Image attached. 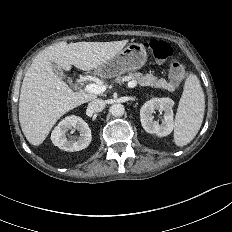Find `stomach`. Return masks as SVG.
Instances as JSON below:
<instances>
[{
	"instance_id": "0dacf381",
	"label": "stomach",
	"mask_w": 232,
	"mask_h": 232,
	"mask_svg": "<svg viewBox=\"0 0 232 232\" xmlns=\"http://www.w3.org/2000/svg\"><path fill=\"white\" fill-rule=\"evenodd\" d=\"M147 53L141 43H129L112 59L96 69V73L105 78H112L143 67Z\"/></svg>"
}]
</instances>
